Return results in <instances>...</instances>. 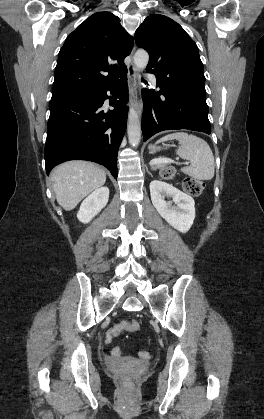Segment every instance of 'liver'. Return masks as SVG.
Instances as JSON below:
<instances>
[{
    "label": "liver",
    "mask_w": 264,
    "mask_h": 419,
    "mask_svg": "<svg viewBox=\"0 0 264 419\" xmlns=\"http://www.w3.org/2000/svg\"><path fill=\"white\" fill-rule=\"evenodd\" d=\"M51 179L57 202L70 211L90 192L104 185L106 173L91 162L69 161L57 166Z\"/></svg>",
    "instance_id": "obj_1"
}]
</instances>
